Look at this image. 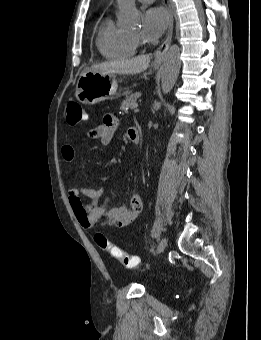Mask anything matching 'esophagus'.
<instances>
[{"label":"esophagus","mask_w":261,"mask_h":340,"mask_svg":"<svg viewBox=\"0 0 261 340\" xmlns=\"http://www.w3.org/2000/svg\"><path fill=\"white\" fill-rule=\"evenodd\" d=\"M164 3L170 15V24H169V29H168V33H167V37L165 41L160 45V47L154 53L155 62H161L164 59L165 54L170 46L172 35H173L174 18H173V10L171 7V2L170 0H164Z\"/></svg>","instance_id":"esophagus-1"}]
</instances>
